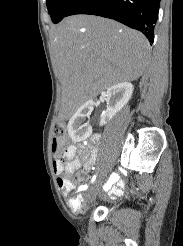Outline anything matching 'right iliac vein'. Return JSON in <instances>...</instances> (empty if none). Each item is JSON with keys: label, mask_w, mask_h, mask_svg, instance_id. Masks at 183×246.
<instances>
[{"label": "right iliac vein", "mask_w": 183, "mask_h": 246, "mask_svg": "<svg viewBox=\"0 0 183 246\" xmlns=\"http://www.w3.org/2000/svg\"><path fill=\"white\" fill-rule=\"evenodd\" d=\"M98 189H99V184L96 182V183L92 186V188H91V190H90V197H91V198H94V197L97 195Z\"/></svg>", "instance_id": "right-iliac-vein-1"}]
</instances>
